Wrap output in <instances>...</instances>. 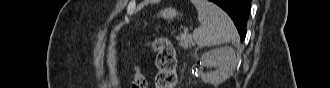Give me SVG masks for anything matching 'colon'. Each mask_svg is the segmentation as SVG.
<instances>
[{
	"instance_id": "obj_1",
	"label": "colon",
	"mask_w": 330,
	"mask_h": 88,
	"mask_svg": "<svg viewBox=\"0 0 330 88\" xmlns=\"http://www.w3.org/2000/svg\"><path fill=\"white\" fill-rule=\"evenodd\" d=\"M156 55V87L173 88L176 83V59L172 44L165 37H156L149 41ZM133 88H146V80L139 67L134 71Z\"/></svg>"
}]
</instances>
